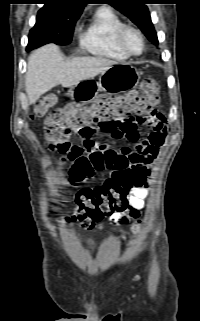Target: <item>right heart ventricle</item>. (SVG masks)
<instances>
[{
  "instance_id": "e07e8e85",
  "label": "right heart ventricle",
  "mask_w": 200,
  "mask_h": 321,
  "mask_svg": "<svg viewBox=\"0 0 200 321\" xmlns=\"http://www.w3.org/2000/svg\"><path fill=\"white\" fill-rule=\"evenodd\" d=\"M124 24L122 18L111 8H98L79 36L81 47L95 56L127 60L129 56L116 42V34Z\"/></svg>"
}]
</instances>
